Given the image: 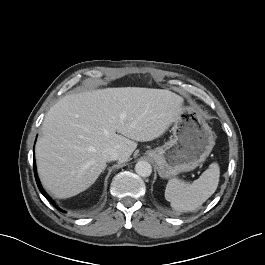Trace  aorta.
Masks as SVG:
<instances>
[{
	"instance_id": "aorta-1",
	"label": "aorta",
	"mask_w": 265,
	"mask_h": 265,
	"mask_svg": "<svg viewBox=\"0 0 265 265\" xmlns=\"http://www.w3.org/2000/svg\"><path fill=\"white\" fill-rule=\"evenodd\" d=\"M135 171L141 177H149L152 173V166L147 161H139L135 165Z\"/></svg>"
}]
</instances>
